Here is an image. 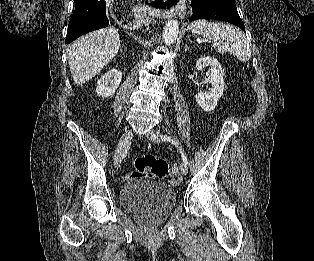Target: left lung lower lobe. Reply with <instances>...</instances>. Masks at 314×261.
Here are the masks:
<instances>
[{
    "label": "left lung lower lobe",
    "instance_id": "1",
    "mask_svg": "<svg viewBox=\"0 0 314 261\" xmlns=\"http://www.w3.org/2000/svg\"><path fill=\"white\" fill-rule=\"evenodd\" d=\"M191 7L193 15L190 17V21L197 19L221 20L236 25L245 32L234 0H191Z\"/></svg>",
    "mask_w": 314,
    "mask_h": 261
}]
</instances>
